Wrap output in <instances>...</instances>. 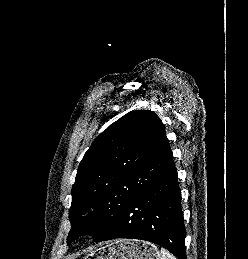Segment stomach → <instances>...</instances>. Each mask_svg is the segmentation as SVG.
<instances>
[{"label":"stomach","instance_id":"obj_1","mask_svg":"<svg viewBox=\"0 0 248 259\" xmlns=\"http://www.w3.org/2000/svg\"><path fill=\"white\" fill-rule=\"evenodd\" d=\"M83 259H161V255L154 244L136 239H122L96 248Z\"/></svg>","mask_w":248,"mask_h":259}]
</instances>
